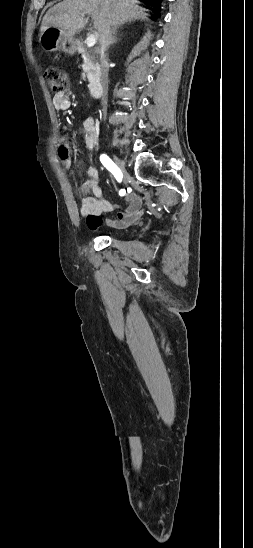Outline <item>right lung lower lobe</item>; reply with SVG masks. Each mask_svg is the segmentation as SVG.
<instances>
[{
	"instance_id": "obj_1",
	"label": "right lung lower lobe",
	"mask_w": 253,
	"mask_h": 548,
	"mask_svg": "<svg viewBox=\"0 0 253 548\" xmlns=\"http://www.w3.org/2000/svg\"><path fill=\"white\" fill-rule=\"evenodd\" d=\"M141 1L148 2L155 9L160 8L161 2H162V0H141Z\"/></svg>"
}]
</instances>
